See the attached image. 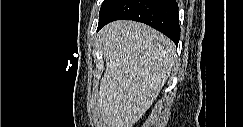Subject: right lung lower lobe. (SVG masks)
<instances>
[{
  "instance_id": "1",
  "label": "right lung lower lobe",
  "mask_w": 243,
  "mask_h": 127,
  "mask_svg": "<svg viewBox=\"0 0 243 127\" xmlns=\"http://www.w3.org/2000/svg\"><path fill=\"white\" fill-rule=\"evenodd\" d=\"M98 29L118 19L145 23L169 37L180 39L178 4L175 0H111L99 13Z\"/></svg>"
}]
</instances>
